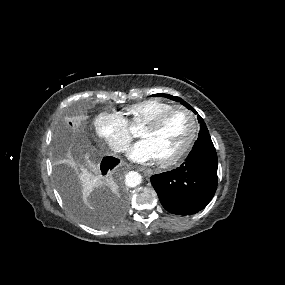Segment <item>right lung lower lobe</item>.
Here are the masks:
<instances>
[{"instance_id": "1", "label": "right lung lower lobe", "mask_w": 285, "mask_h": 285, "mask_svg": "<svg viewBox=\"0 0 285 285\" xmlns=\"http://www.w3.org/2000/svg\"><path fill=\"white\" fill-rule=\"evenodd\" d=\"M119 160L117 158L114 157H105L100 165V172L102 173V175H106L109 174L112 169L118 165ZM126 203V199L124 197V195L121 196V204L125 205Z\"/></svg>"}]
</instances>
